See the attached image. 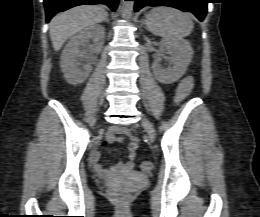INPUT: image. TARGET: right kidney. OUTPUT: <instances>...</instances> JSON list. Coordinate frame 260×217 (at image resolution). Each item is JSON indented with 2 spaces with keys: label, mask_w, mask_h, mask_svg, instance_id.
I'll return each instance as SVG.
<instances>
[{
  "label": "right kidney",
  "mask_w": 260,
  "mask_h": 217,
  "mask_svg": "<svg viewBox=\"0 0 260 217\" xmlns=\"http://www.w3.org/2000/svg\"><path fill=\"white\" fill-rule=\"evenodd\" d=\"M105 37V28L94 24L82 29L72 36L66 44L61 55V69L65 79L72 85L84 82L90 74L92 67L89 63H83L85 54L89 51L97 53L101 49ZM89 40L93 41L89 45Z\"/></svg>",
  "instance_id": "ca27d5eb"
}]
</instances>
